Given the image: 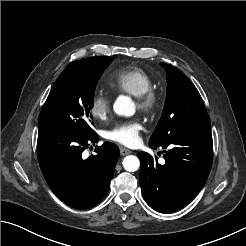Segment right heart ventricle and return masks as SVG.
<instances>
[{
	"label": "right heart ventricle",
	"instance_id": "1",
	"mask_svg": "<svg viewBox=\"0 0 246 246\" xmlns=\"http://www.w3.org/2000/svg\"><path fill=\"white\" fill-rule=\"evenodd\" d=\"M153 83L151 75L139 67L119 69L109 78V84L114 90L134 97L153 88Z\"/></svg>",
	"mask_w": 246,
	"mask_h": 246
}]
</instances>
